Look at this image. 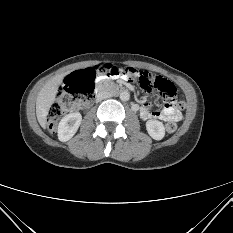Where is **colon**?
I'll return each instance as SVG.
<instances>
[{"label":"colon","mask_w":233,"mask_h":233,"mask_svg":"<svg viewBox=\"0 0 233 233\" xmlns=\"http://www.w3.org/2000/svg\"><path fill=\"white\" fill-rule=\"evenodd\" d=\"M97 74H105L113 77H124L130 82L138 83L145 91L159 90L166 98L175 94L174 85L159 76L138 72L131 68H117L112 65L97 66L70 74L65 78L64 84L52 104L48 116L47 126L54 132L59 119L74 104H87L93 98L94 79ZM183 108V104H179ZM175 123H167L166 130L172 133L176 130Z\"/></svg>","instance_id":"obj_1"}]
</instances>
